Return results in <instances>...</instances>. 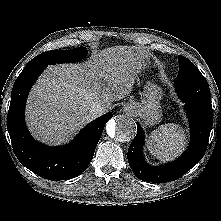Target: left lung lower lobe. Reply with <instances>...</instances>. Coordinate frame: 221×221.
<instances>
[{"label": "left lung lower lobe", "mask_w": 221, "mask_h": 221, "mask_svg": "<svg viewBox=\"0 0 221 221\" xmlns=\"http://www.w3.org/2000/svg\"><path fill=\"white\" fill-rule=\"evenodd\" d=\"M175 89L185 102L191 128V140L188 149L177 160L163 166H150L143 157L144 131L137 123V134L128 149V162L134 174L146 182L163 183L174 181L204 156L213 125V111L209 85L206 80L177 81Z\"/></svg>", "instance_id": "1"}]
</instances>
